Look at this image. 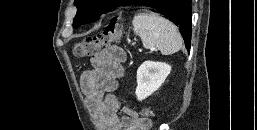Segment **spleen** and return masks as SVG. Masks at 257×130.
<instances>
[{
	"mask_svg": "<svg viewBox=\"0 0 257 130\" xmlns=\"http://www.w3.org/2000/svg\"><path fill=\"white\" fill-rule=\"evenodd\" d=\"M133 31L140 36L145 48H157L170 55L182 48V37L177 27L156 13H138L134 16Z\"/></svg>",
	"mask_w": 257,
	"mask_h": 130,
	"instance_id": "obj_1",
	"label": "spleen"
}]
</instances>
